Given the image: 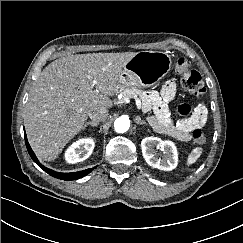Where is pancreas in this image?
<instances>
[{"instance_id": "pancreas-1", "label": "pancreas", "mask_w": 243, "mask_h": 243, "mask_svg": "<svg viewBox=\"0 0 243 243\" xmlns=\"http://www.w3.org/2000/svg\"><path fill=\"white\" fill-rule=\"evenodd\" d=\"M122 98H140L142 101H145L146 99V94L143 90L138 89L137 87H131V88H126L122 91Z\"/></svg>"}]
</instances>
